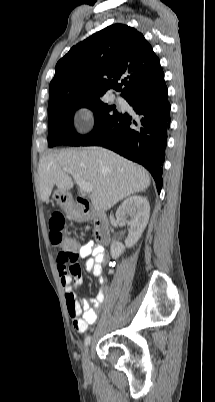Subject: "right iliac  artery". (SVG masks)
Returning <instances> with one entry per match:
<instances>
[{"label":"right iliac artery","mask_w":215,"mask_h":402,"mask_svg":"<svg viewBox=\"0 0 215 402\" xmlns=\"http://www.w3.org/2000/svg\"><path fill=\"white\" fill-rule=\"evenodd\" d=\"M85 347H88L89 346V344H90V342H91V337L88 335L86 338H85Z\"/></svg>","instance_id":"right-iliac-artery-1"}]
</instances>
